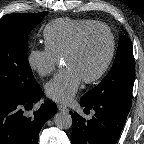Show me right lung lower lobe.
I'll use <instances>...</instances> for the list:
<instances>
[{"instance_id": "98d812e1", "label": "right lung lower lobe", "mask_w": 144, "mask_h": 144, "mask_svg": "<svg viewBox=\"0 0 144 144\" xmlns=\"http://www.w3.org/2000/svg\"><path fill=\"white\" fill-rule=\"evenodd\" d=\"M41 96L39 87L25 96L0 98V144H38L41 128L56 113V104L46 101L29 117L25 110H31Z\"/></svg>"}]
</instances>
